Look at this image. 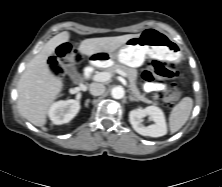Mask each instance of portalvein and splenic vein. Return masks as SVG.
<instances>
[{
  "mask_svg": "<svg viewBox=\"0 0 222 187\" xmlns=\"http://www.w3.org/2000/svg\"><path fill=\"white\" fill-rule=\"evenodd\" d=\"M117 73L123 77L127 76L126 73L121 70H118ZM111 77H112V74L109 72H99L93 75L92 79L97 82H106V81H109Z\"/></svg>",
  "mask_w": 222,
  "mask_h": 187,
  "instance_id": "obj_1",
  "label": "portal vein and splenic vein"
}]
</instances>
